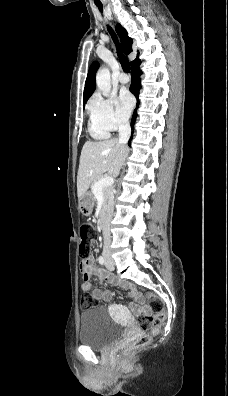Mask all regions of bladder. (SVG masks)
<instances>
[{"label":"bladder","mask_w":228,"mask_h":396,"mask_svg":"<svg viewBox=\"0 0 228 396\" xmlns=\"http://www.w3.org/2000/svg\"><path fill=\"white\" fill-rule=\"evenodd\" d=\"M125 331V327L113 321L104 308L89 309L81 317L79 341L101 351L119 341Z\"/></svg>","instance_id":"1"}]
</instances>
